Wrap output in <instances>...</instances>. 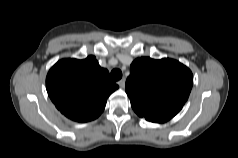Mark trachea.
I'll use <instances>...</instances> for the list:
<instances>
[{
  "label": "trachea",
  "instance_id": "trachea-1",
  "mask_svg": "<svg viewBox=\"0 0 238 158\" xmlns=\"http://www.w3.org/2000/svg\"><path fill=\"white\" fill-rule=\"evenodd\" d=\"M111 77L115 80L118 81L122 78V72L120 69H113L111 71Z\"/></svg>",
  "mask_w": 238,
  "mask_h": 158
}]
</instances>
